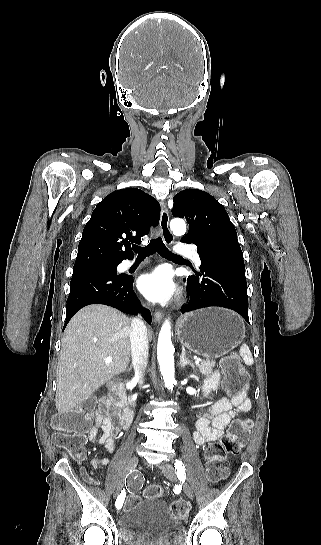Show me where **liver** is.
<instances>
[{"instance_id":"6515ba94","label":"liver","mask_w":321,"mask_h":545,"mask_svg":"<svg viewBox=\"0 0 321 545\" xmlns=\"http://www.w3.org/2000/svg\"><path fill=\"white\" fill-rule=\"evenodd\" d=\"M129 317L106 305H88L69 321L57 369L55 405L70 413L101 385L126 371L131 355ZM149 339H152L148 333ZM112 357V363H105Z\"/></svg>"}]
</instances>
